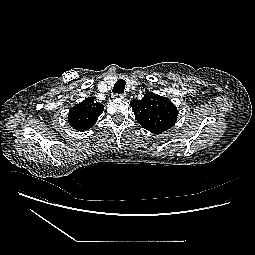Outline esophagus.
Instances as JSON below:
<instances>
[{
	"instance_id": "esophagus-1",
	"label": "esophagus",
	"mask_w": 255,
	"mask_h": 255,
	"mask_svg": "<svg viewBox=\"0 0 255 255\" xmlns=\"http://www.w3.org/2000/svg\"><path fill=\"white\" fill-rule=\"evenodd\" d=\"M116 97L119 99H124L125 95L124 94H116Z\"/></svg>"
}]
</instances>
